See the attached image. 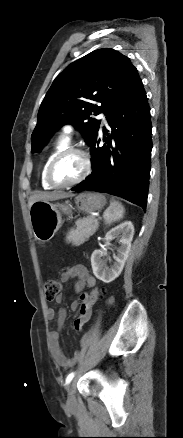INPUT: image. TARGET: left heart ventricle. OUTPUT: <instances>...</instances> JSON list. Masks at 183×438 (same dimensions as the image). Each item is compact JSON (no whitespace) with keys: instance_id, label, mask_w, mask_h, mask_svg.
Masks as SVG:
<instances>
[{"instance_id":"obj_1","label":"left heart ventricle","mask_w":183,"mask_h":438,"mask_svg":"<svg viewBox=\"0 0 183 438\" xmlns=\"http://www.w3.org/2000/svg\"><path fill=\"white\" fill-rule=\"evenodd\" d=\"M83 170V159L78 154H69L61 158L52 173L56 183L64 184L75 180Z\"/></svg>"}]
</instances>
